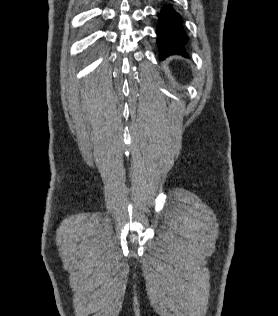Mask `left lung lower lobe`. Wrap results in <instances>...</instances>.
<instances>
[{"label": "left lung lower lobe", "instance_id": "obj_1", "mask_svg": "<svg viewBox=\"0 0 278 316\" xmlns=\"http://www.w3.org/2000/svg\"><path fill=\"white\" fill-rule=\"evenodd\" d=\"M157 44L163 59L172 54L187 56L185 44L188 37L183 30L181 16L169 5L163 6L158 13Z\"/></svg>", "mask_w": 278, "mask_h": 316}]
</instances>
